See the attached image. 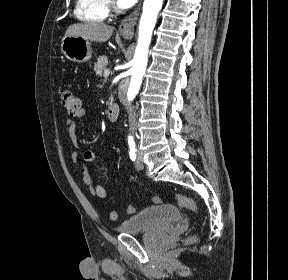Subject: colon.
<instances>
[{
    "label": "colon",
    "instance_id": "5ec220e1",
    "mask_svg": "<svg viewBox=\"0 0 288 280\" xmlns=\"http://www.w3.org/2000/svg\"><path fill=\"white\" fill-rule=\"evenodd\" d=\"M61 103L71 116H76L81 108L80 98L78 97L76 93H74L71 90H65L62 92ZM173 199L179 206L192 211L194 214H199V206L194 199L188 196L182 195V194H175L173 196ZM152 201L155 204H161L163 202V197L154 196L152 198ZM127 212L129 214L135 213L136 207L134 205H129L127 208ZM109 217L112 221L117 220L118 218L117 211L115 210L110 211Z\"/></svg>",
    "mask_w": 288,
    "mask_h": 280
}]
</instances>
